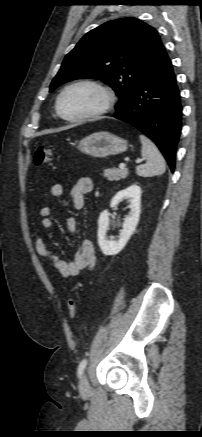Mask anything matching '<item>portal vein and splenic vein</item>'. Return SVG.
Wrapping results in <instances>:
<instances>
[{
    "mask_svg": "<svg viewBox=\"0 0 202 437\" xmlns=\"http://www.w3.org/2000/svg\"><path fill=\"white\" fill-rule=\"evenodd\" d=\"M141 162V160H137L136 161V163H140ZM125 167H126V165L124 164V163H121L120 165H119V168L120 169H125Z\"/></svg>",
    "mask_w": 202,
    "mask_h": 437,
    "instance_id": "portal-vein-and-splenic-vein-1",
    "label": "portal vein and splenic vein"
}]
</instances>
